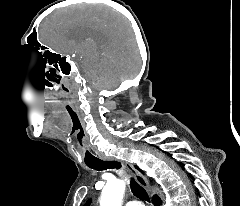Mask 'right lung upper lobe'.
<instances>
[{
	"mask_svg": "<svg viewBox=\"0 0 240 206\" xmlns=\"http://www.w3.org/2000/svg\"><path fill=\"white\" fill-rule=\"evenodd\" d=\"M137 169H139L137 166H135ZM90 203H91V199H89L86 203H85V205L84 206H89L90 205Z\"/></svg>",
	"mask_w": 240,
	"mask_h": 206,
	"instance_id": "obj_1",
	"label": "right lung upper lobe"
}]
</instances>
